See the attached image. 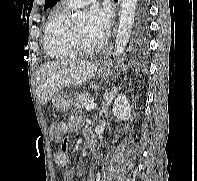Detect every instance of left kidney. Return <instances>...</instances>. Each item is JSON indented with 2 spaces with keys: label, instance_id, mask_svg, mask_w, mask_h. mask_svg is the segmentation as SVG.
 <instances>
[{
  "label": "left kidney",
  "instance_id": "5707ae66",
  "mask_svg": "<svg viewBox=\"0 0 197 181\" xmlns=\"http://www.w3.org/2000/svg\"><path fill=\"white\" fill-rule=\"evenodd\" d=\"M132 107L125 95H118L113 105V114L120 120H128L131 116Z\"/></svg>",
  "mask_w": 197,
  "mask_h": 181
}]
</instances>
